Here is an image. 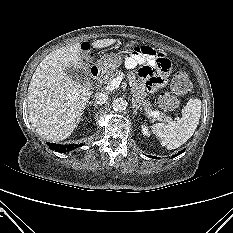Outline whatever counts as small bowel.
Instances as JSON below:
<instances>
[{
  "label": "small bowel",
  "instance_id": "1",
  "mask_svg": "<svg viewBox=\"0 0 233 233\" xmlns=\"http://www.w3.org/2000/svg\"><path fill=\"white\" fill-rule=\"evenodd\" d=\"M83 50L86 55L90 54V47L85 45ZM125 65L128 68L140 66L138 76L145 82L149 91L164 86L165 76L169 72L170 63L160 53L148 46H135L131 54L126 56Z\"/></svg>",
  "mask_w": 233,
  "mask_h": 233
}]
</instances>
